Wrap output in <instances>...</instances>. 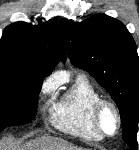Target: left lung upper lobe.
<instances>
[{"instance_id":"left-lung-upper-lobe-1","label":"left lung upper lobe","mask_w":139,"mask_h":150,"mask_svg":"<svg viewBox=\"0 0 139 150\" xmlns=\"http://www.w3.org/2000/svg\"><path fill=\"white\" fill-rule=\"evenodd\" d=\"M72 64L88 71L116 102L123 122V140L137 143L139 57L127 28L117 19L97 14L79 23L59 22Z\"/></svg>"}]
</instances>
